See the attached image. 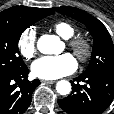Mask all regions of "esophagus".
<instances>
[{
    "mask_svg": "<svg viewBox=\"0 0 114 114\" xmlns=\"http://www.w3.org/2000/svg\"><path fill=\"white\" fill-rule=\"evenodd\" d=\"M41 83H43V84H53V83H55V81H53V80H41Z\"/></svg>",
    "mask_w": 114,
    "mask_h": 114,
    "instance_id": "obj_1",
    "label": "esophagus"
}]
</instances>
